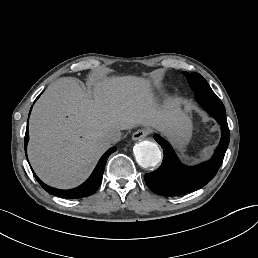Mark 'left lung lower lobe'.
<instances>
[{
    "instance_id": "left-lung-lower-lobe-1",
    "label": "left lung lower lobe",
    "mask_w": 258,
    "mask_h": 258,
    "mask_svg": "<svg viewBox=\"0 0 258 258\" xmlns=\"http://www.w3.org/2000/svg\"><path fill=\"white\" fill-rule=\"evenodd\" d=\"M193 91L196 101L221 125V141L210 160L188 167L179 161L166 140L155 135V140L163 148L164 157L162 165L156 171L145 174L144 179L149 189L159 195L175 196L193 192L205 186L216 175L229 144L230 132L221 100L209 85L195 86Z\"/></svg>"
}]
</instances>
